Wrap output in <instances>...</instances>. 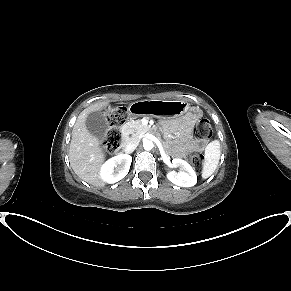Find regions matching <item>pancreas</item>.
<instances>
[{
	"label": "pancreas",
	"instance_id": "1",
	"mask_svg": "<svg viewBox=\"0 0 291 291\" xmlns=\"http://www.w3.org/2000/svg\"><path fill=\"white\" fill-rule=\"evenodd\" d=\"M123 131L130 132L135 136L142 135L143 133L147 132L149 128L147 126L142 125L141 120H131L125 123L122 127ZM127 138V136H124Z\"/></svg>",
	"mask_w": 291,
	"mask_h": 291
}]
</instances>
